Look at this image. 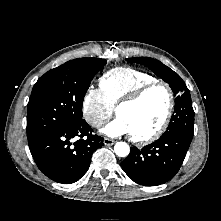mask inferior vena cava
I'll return each mask as SVG.
<instances>
[{"label":"inferior vena cava","mask_w":221,"mask_h":221,"mask_svg":"<svg viewBox=\"0 0 221 221\" xmlns=\"http://www.w3.org/2000/svg\"><path fill=\"white\" fill-rule=\"evenodd\" d=\"M103 124V122L101 120H95L93 121V126L99 127Z\"/></svg>","instance_id":"obj_1"}]
</instances>
